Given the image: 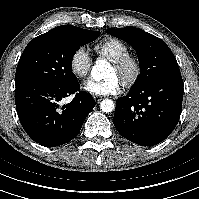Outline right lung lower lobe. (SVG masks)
Segmentation results:
<instances>
[{
	"label": "right lung lower lobe",
	"mask_w": 199,
	"mask_h": 199,
	"mask_svg": "<svg viewBox=\"0 0 199 199\" xmlns=\"http://www.w3.org/2000/svg\"><path fill=\"white\" fill-rule=\"evenodd\" d=\"M80 89L76 82L53 86L26 83L16 86L15 103L20 123L35 142L55 147L74 139L95 106L90 93L80 91L63 106L59 102Z\"/></svg>",
	"instance_id": "1"
}]
</instances>
